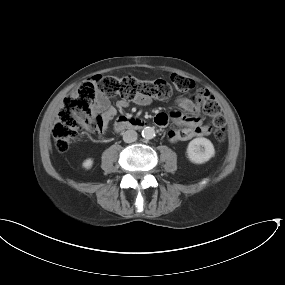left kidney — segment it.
<instances>
[{"mask_svg":"<svg viewBox=\"0 0 285 285\" xmlns=\"http://www.w3.org/2000/svg\"><path fill=\"white\" fill-rule=\"evenodd\" d=\"M214 155V146L212 142L207 138H195L188 144L187 156L193 163H205L209 161Z\"/></svg>","mask_w":285,"mask_h":285,"instance_id":"1","label":"left kidney"}]
</instances>
